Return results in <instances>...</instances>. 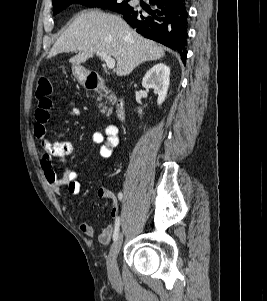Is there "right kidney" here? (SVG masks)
Listing matches in <instances>:
<instances>
[{
	"label": "right kidney",
	"mask_w": 267,
	"mask_h": 301,
	"mask_svg": "<svg viewBox=\"0 0 267 301\" xmlns=\"http://www.w3.org/2000/svg\"><path fill=\"white\" fill-rule=\"evenodd\" d=\"M170 84V68L165 64H157L147 71L142 80L144 88H153L158 95L157 104L161 105L167 96ZM142 110H139L141 113Z\"/></svg>",
	"instance_id": "right-kidney-1"
}]
</instances>
